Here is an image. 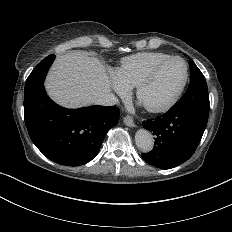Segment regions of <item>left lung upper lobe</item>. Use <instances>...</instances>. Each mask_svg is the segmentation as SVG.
I'll return each instance as SVG.
<instances>
[{
  "instance_id": "5c2ea615",
  "label": "left lung upper lobe",
  "mask_w": 232,
  "mask_h": 232,
  "mask_svg": "<svg viewBox=\"0 0 232 232\" xmlns=\"http://www.w3.org/2000/svg\"><path fill=\"white\" fill-rule=\"evenodd\" d=\"M190 84L186 93L171 108L172 110H188L208 119L209 95L205 77L193 61H189Z\"/></svg>"
}]
</instances>
